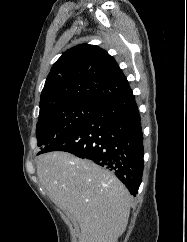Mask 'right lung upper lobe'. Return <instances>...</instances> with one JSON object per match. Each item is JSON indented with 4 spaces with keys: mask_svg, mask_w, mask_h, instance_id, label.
<instances>
[{
    "mask_svg": "<svg viewBox=\"0 0 187 242\" xmlns=\"http://www.w3.org/2000/svg\"><path fill=\"white\" fill-rule=\"evenodd\" d=\"M132 90L105 50L82 44L71 48L55 62L41 93L40 113L76 102L104 106Z\"/></svg>",
    "mask_w": 187,
    "mask_h": 242,
    "instance_id": "obj_1",
    "label": "right lung upper lobe"
}]
</instances>
